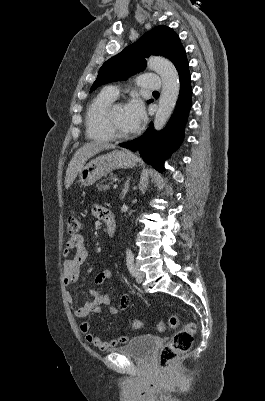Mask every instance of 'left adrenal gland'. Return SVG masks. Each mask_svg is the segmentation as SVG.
<instances>
[{"label": "left adrenal gland", "instance_id": "obj_1", "mask_svg": "<svg viewBox=\"0 0 265 401\" xmlns=\"http://www.w3.org/2000/svg\"><path fill=\"white\" fill-rule=\"evenodd\" d=\"M130 180H131V178H128V180H126V182L124 184V188H122V190H121V196H120L121 201H122V198H124V196H126V192H128V190H129Z\"/></svg>", "mask_w": 265, "mask_h": 401}]
</instances>
